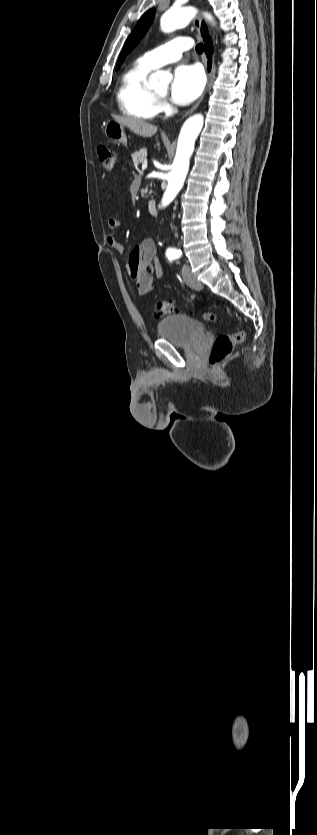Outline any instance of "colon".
<instances>
[{"label": "colon", "instance_id": "obj_1", "mask_svg": "<svg viewBox=\"0 0 317 835\" xmlns=\"http://www.w3.org/2000/svg\"><path fill=\"white\" fill-rule=\"evenodd\" d=\"M98 157L102 167L105 170H112L115 165V153L107 146L100 145L98 147ZM141 270L146 274L152 273V265L144 263ZM136 281V279L134 278ZM175 312V305L172 301L161 300L155 305L154 313L156 316H165ZM203 319L209 322H215L217 316L212 312L203 314ZM245 338L243 331H238L233 334H222L216 337L210 350L209 363L211 365H218L222 363L233 351L234 346Z\"/></svg>", "mask_w": 317, "mask_h": 835}]
</instances>
